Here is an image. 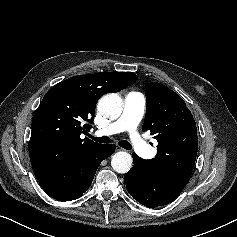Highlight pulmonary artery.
Wrapping results in <instances>:
<instances>
[{"label": "pulmonary artery", "instance_id": "pulmonary-artery-1", "mask_svg": "<svg viewBox=\"0 0 237 237\" xmlns=\"http://www.w3.org/2000/svg\"><path fill=\"white\" fill-rule=\"evenodd\" d=\"M145 107L146 100L143 94L135 91L128 93L124 100L121 116L114 123L97 129L96 134L106 136L127 131L130 134L136 153L145 158L153 157L155 150L136 132L137 126L143 118Z\"/></svg>", "mask_w": 237, "mask_h": 237}]
</instances>
